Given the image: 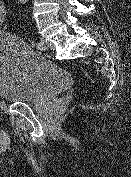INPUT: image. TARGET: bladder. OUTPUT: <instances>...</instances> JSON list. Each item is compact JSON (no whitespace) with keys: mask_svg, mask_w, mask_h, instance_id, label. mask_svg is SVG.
I'll list each match as a JSON object with an SVG mask.
<instances>
[{"mask_svg":"<svg viewBox=\"0 0 131 177\" xmlns=\"http://www.w3.org/2000/svg\"><path fill=\"white\" fill-rule=\"evenodd\" d=\"M71 83L68 71L39 57L18 38L0 34L1 99L45 106Z\"/></svg>","mask_w":131,"mask_h":177,"instance_id":"1","label":"bladder"}]
</instances>
